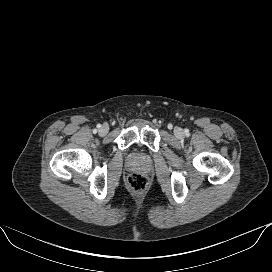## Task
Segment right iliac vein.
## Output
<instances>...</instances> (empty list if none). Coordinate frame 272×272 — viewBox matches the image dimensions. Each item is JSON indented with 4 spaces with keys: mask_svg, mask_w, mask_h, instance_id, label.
Returning a JSON list of instances; mask_svg holds the SVG:
<instances>
[{
    "mask_svg": "<svg viewBox=\"0 0 272 272\" xmlns=\"http://www.w3.org/2000/svg\"><path fill=\"white\" fill-rule=\"evenodd\" d=\"M108 131H109L108 125L104 124L99 129V134L102 135V136H104V135H106L108 133Z\"/></svg>",
    "mask_w": 272,
    "mask_h": 272,
    "instance_id": "63e3f726",
    "label": "right iliac vein"
}]
</instances>
